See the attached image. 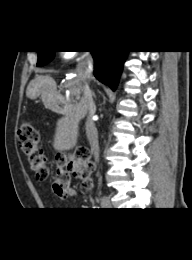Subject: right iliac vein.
<instances>
[{
    "instance_id": "obj_1",
    "label": "right iliac vein",
    "mask_w": 192,
    "mask_h": 260,
    "mask_svg": "<svg viewBox=\"0 0 192 260\" xmlns=\"http://www.w3.org/2000/svg\"><path fill=\"white\" fill-rule=\"evenodd\" d=\"M101 206L103 208H107V209L112 207L111 202L108 197H106V196L101 197Z\"/></svg>"
}]
</instances>
